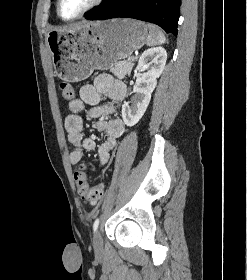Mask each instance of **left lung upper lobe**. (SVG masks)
Returning <instances> with one entry per match:
<instances>
[{
	"mask_svg": "<svg viewBox=\"0 0 247 280\" xmlns=\"http://www.w3.org/2000/svg\"><path fill=\"white\" fill-rule=\"evenodd\" d=\"M109 0H105L103 3H106V2H108Z\"/></svg>",
	"mask_w": 247,
	"mask_h": 280,
	"instance_id": "left-lung-upper-lobe-1",
	"label": "left lung upper lobe"
}]
</instances>
